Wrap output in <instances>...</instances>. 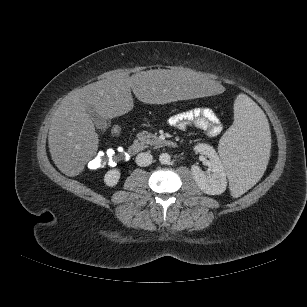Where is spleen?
<instances>
[{
  "mask_svg": "<svg viewBox=\"0 0 307 307\" xmlns=\"http://www.w3.org/2000/svg\"><path fill=\"white\" fill-rule=\"evenodd\" d=\"M269 124L261 108L247 95L234 102V122L219 142V154L229 171L230 191L239 197L261 175L271 157Z\"/></svg>",
  "mask_w": 307,
  "mask_h": 307,
  "instance_id": "1",
  "label": "spleen"
}]
</instances>
